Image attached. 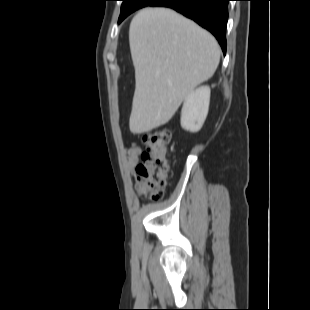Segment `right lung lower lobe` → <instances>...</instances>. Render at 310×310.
Listing matches in <instances>:
<instances>
[{"instance_id": "98d812e1", "label": "right lung lower lobe", "mask_w": 310, "mask_h": 310, "mask_svg": "<svg viewBox=\"0 0 310 310\" xmlns=\"http://www.w3.org/2000/svg\"><path fill=\"white\" fill-rule=\"evenodd\" d=\"M230 0H155L149 6L169 7L210 31L226 53V25Z\"/></svg>"}]
</instances>
